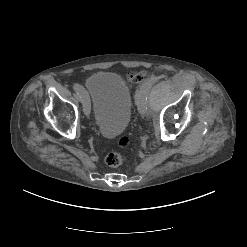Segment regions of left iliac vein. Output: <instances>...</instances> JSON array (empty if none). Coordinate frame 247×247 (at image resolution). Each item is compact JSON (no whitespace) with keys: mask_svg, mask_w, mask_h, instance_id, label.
<instances>
[{"mask_svg":"<svg viewBox=\"0 0 247 247\" xmlns=\"http://www.w3.org/2000/svg\"><path fill=\"white\" fill-rule=\"evenodd\" d=\"M147 97V92L140 90L137 95L138 109L141 115L147 116L149 114V109L147 104L143 105L142 101Z\"/></svg>","mask_w":247,"mask_h":247,"instance_id":"1","label":"left iliac vein"}]
</instances>
